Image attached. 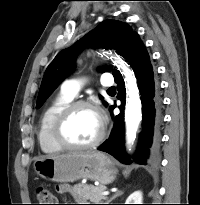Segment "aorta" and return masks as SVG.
I'll return each mask as SVG.
<instances>
[{"label":"aorta","mask_w":200,"mask_h":205,"mask_svg":"<svg viewBox=\"0 0 200 205\" xmlns=\"http://www.w3.org/2000/svg\"><path fill=\"white\" fill-rule=\"evenodd\" d=\"M113 58V63L118 69L122 70L126 84V108H125V124H126V140L131 143L136 135V130L142 119L141 100L137 81L133 71L128 68V65L118 56Z\"/></svg>","instance_id":"aorta-1"}]
</instances>
